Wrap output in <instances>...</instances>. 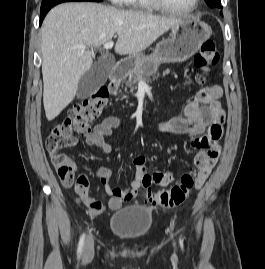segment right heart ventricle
<instances>
[{
	"label": "right heart ventricle",
	"mask_w": 265,
	"mask_h": 269,
	"mask_svg": "<svg viewBox=\"0 0 265 269\" xmlns=\"http://www.w3.org/2000/svg\"><path fill=\"white\" fill-rule=\"evenodd\" d=\"M125 4L134 9L152 10L154 7L148 0H126Z\"/></svg>",
	"instance_id": "right-heart-ventricle-1"
}]
</instances>
